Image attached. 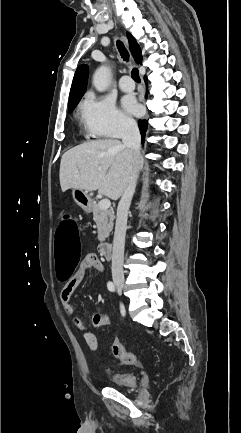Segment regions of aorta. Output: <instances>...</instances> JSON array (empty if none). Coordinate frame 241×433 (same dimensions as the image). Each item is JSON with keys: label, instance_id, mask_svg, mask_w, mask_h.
<instances>
[{"label": "aorta", "instance_id": "aorta-1", "mask_svg": "<svg viewBox=\"0 0 241 433\" xmlns=\"http://www.w3.org/2000/svg\"><path fill=\"white\" fill-rule=\"evenodd\" d=\"M111 70L108 66L102 65L100 66L94 73L93 76V85L97 91L103 92L105 91L110 83Z\"/></svg>", "mask_w": 241, "mask_h": 433}]
</instances>
